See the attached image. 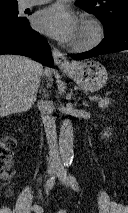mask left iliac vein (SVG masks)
Wrapping results in <instances>:
<instances>
[{
    "instance_id": "left-iliac-vein-1",
    "label": "left iliac vein",
    "mask_w": 128,
    "mask_h": 213,
    "mask_svg": "<svg viewBox=\"0 0 128 213\" xmlns=\"http://www.w3.org/2000/svg\"><path fill=\"white\" fill-rule=\"evenodd\" d=\"M57 177L60 180V182L62 184H64L65 186H68V177H67V173L66 170L63 167H60L57 171Z\"/></svg>"
}]
</instances>
